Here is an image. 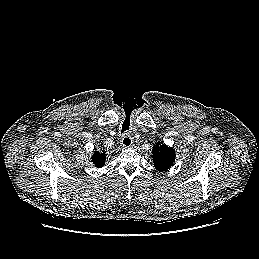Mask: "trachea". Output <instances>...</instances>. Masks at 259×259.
Instances as JSON below:
<instances>
[{
	"label": "trachea",
	"mask_w": 259,
	"mask_h": 259,
	"mask_svg": "<svg viewBox=\"0 0 259 259\" xmlns=\"http://www.w3.org/2000/svg\"><path fill=\"white\" fill-rule=\"evenodd\" d=\"M129 130V123L124 121L122 125L121 133H124L125 131Z\"/></svg>",
	"instance_id": "trachea-1"
}]
</instances>
